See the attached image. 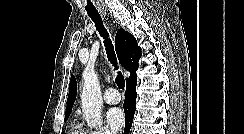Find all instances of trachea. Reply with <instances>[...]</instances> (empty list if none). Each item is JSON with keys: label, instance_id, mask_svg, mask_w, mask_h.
<instances>
[{"label": "trachea", "instance_id": "obj_1", "mask_svg": "<svg viewBox=\"0 0 244 134\" xmlns=\"http://www.w3.org/2000/svg\"><path fill=\"white\" fill-rule=\"evenodd\" d=\"M88 15L95 23V27L99 31V34L104 38L106 54H107L109 61H111V64L114 66V70H118L117 59H116V55L114 52V47H113L111 40L108 38L109 34L103 25V21L101 19L100 14L99 13H88ZM115 82L120 89H124L125 80H124V76L122 75L121 72H118Z\"/></svg>", "mask_w": 244, "mask_h": 134}]
</instances>
